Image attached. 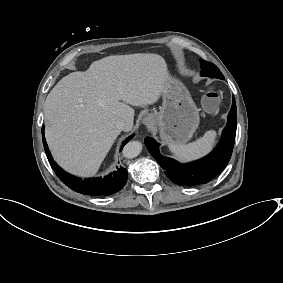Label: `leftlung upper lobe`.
I'll use <instances>...</instances> for the list:
<instances>
[{
  "mask_svg": "<svg viewBox=\"0 0 283 283\" xmlns=\"http://www.w3.org/2000/svg\"><path fill=\"white\" fill-rule=\"evenodd\" d=\"M200 62H201V73H200L201 76L224 79V76L222 75V73L220 72V70L217 68L216 65L204 60H200Z\"/></svg>",
  "mask_w": 283,
  "mask_h": 283,
  "instance_id": "1",
  "label": "left lung upper lobe"
}]
</instances>
